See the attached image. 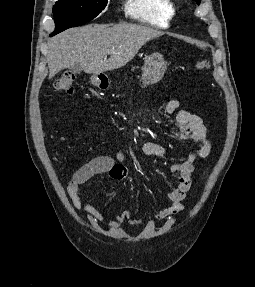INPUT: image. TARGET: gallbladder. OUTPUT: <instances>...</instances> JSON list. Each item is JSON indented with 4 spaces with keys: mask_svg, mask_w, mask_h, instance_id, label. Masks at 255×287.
I'll list each match as a JSON object with an SVG mask.
<instances>
[{
    "mask_svg": "<svg viewBox=\"0 0 255 287\" xmlns=\"http://www.w3.org/2000/svg\"><path fill=\"white\" fill-rule=\"evenodd\" d=\"M68 70H70V72H72V74H80V72H82V68H81V66H78V64H76V66H70V68H68Z\"/></svg>",
    "mask_w": 255,
    "mask_h": 287,
    "instance_id": "gallbladder-1",
    "label": "gallbladder"
}]
</instances>
